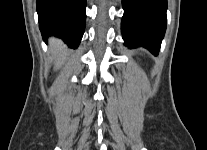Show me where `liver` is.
<instances>
[{"instance_id": "liver-1", "label": "liver", "mask_w": 207, "mask_h": 150, "mask_svg": "<svg viewBox=\"0 0 207 150\" xmlns=\"http://www.w3.org/2000/svg\"><path fill=\"white\" fill-rule=\"evenodd\" d=\"M65 47L59 40H51V52L54 55L61 54V59L56 63V69L62 66L64 60L66 59V55L64 54Z\"/></svg>"}]
</instances>
